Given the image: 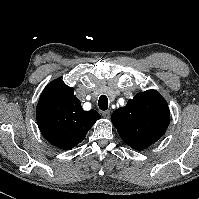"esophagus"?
<instances>
[{
	"label": "esophagus",
	"instance_id": "1",
	"mask_svg": "<svg viewBox=\"0 0 199 199\" xmlns=\"http://www.w3.org/2000/svg\"><path fill=\"white\" fill-rule=\"evenodd\" d=\"M103 117L109 118L110 117V110H106L102 112Z\"/></svg>",
	"mask_w": 199,
	"mask_h": 199
}]
</instances>
